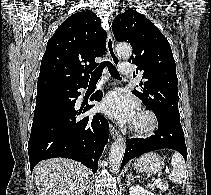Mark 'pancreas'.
<instances>
[{"label":"pancreas","instance_id":"cf45deb5","mask_svg":"<svg viewBox=\"0 0 211 195\" xmlns=\"http://www.w3.org/2000/svg\"><path fill=\"white\" fill-rule=\"evenodd\" d=\"M157 188H159L160 190L166 191L168 189V183L167 182H159L156 185Z\"/></svg>","mask_w":211,"mask_h":195}]
</instances>
